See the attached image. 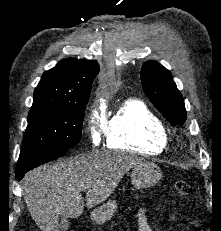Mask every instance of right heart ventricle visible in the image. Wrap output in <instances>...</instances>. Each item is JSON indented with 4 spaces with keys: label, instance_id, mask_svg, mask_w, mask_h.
Wrapping results in <instances>:
<instances>
[{
    "label": "right heart ventricle",
    "instance_id": "obj_1",
    "mask_svg": "<svg viewBox=\"0 0 221 231\" xmlns=\"http://www.w3.org/2000/svg\"><path fill=\"white\" fill-rule=\"evenodd\" d=\"M166 145L164 123L140 100H126L108 120L106 146L110 149L157 155Z\"/></svg>",
    "mask_w": 221,
    "mask_h": 231
}]
</instances>
